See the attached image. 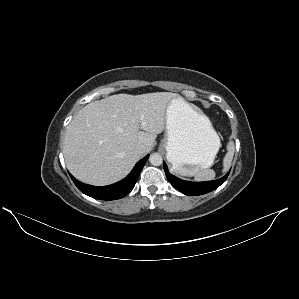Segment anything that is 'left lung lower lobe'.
Instances as JSON below:
<instances>
[{
	"instance_id": "1",
	"label": "left lung lower lobe",
	"mask_w": 299,
	"mask_h": 299,
	"mask_svg": "<svg viewBox=\"0 0 299 299\" xmlns=\"http://www.w3.org/2000/svg\"><path fill=\"white\" fill-rule=\"evenodd\" d=\"M164 171L170 183L185 195H202L218 188L227 179L229 172L222 178L208 182H189L181 180L168 172V167L165 162Z\"/></svg>"
}]
</instances>
